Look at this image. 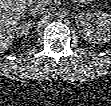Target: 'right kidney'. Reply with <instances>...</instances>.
Returning a JSON list of instances; mask_svg holds the SVG:
<instances>
[{
  "label": "right kidney",
  "mask_w": 111,
  "mask_h": 106,
  "mask_svg": "<svg viewBox=\"0 0 111 106\" xmlns=\"http://www.w3.org/2000/svg\"><path fill=\"white\" fill-rule=\"evenodd\" d=\"M29 29H30V24L29 25L21 24L20 26L17 27L16 30L17 37L27 36L29 33Z\"/></svg>",
  "instance_id": "ca27d5eb"
}]
</instances>
